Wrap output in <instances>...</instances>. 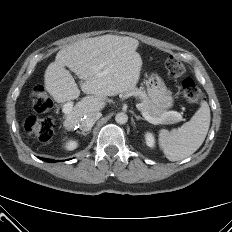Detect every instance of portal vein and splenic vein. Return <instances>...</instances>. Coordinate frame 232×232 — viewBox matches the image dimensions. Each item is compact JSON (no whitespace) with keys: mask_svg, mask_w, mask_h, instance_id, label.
Listing matches in <instances>:
<instances>
[{"mask_svg":"<svg viewBox=\"0 0 232 232\" xmlns=\"http://www.w3.org/2000/svg\"><path fill=\"white\" fill-rule=\"evenodd\" d=\"M72 108H73L72 102H68V103L64 104V106H63V112H64V113H69V112L72 110ZM137 108L141 111L142 116H143L149 123H152V124H154V125L162 124V118H153V117H151V116L148 114V112H146L145 110H143V109L140 107L139 104L137 105ZM166 114H167V115L173 114V115H175V116H177V117H179V118L181 117V115H180L179 113H177V112L169 111V112H167Z\"/></svg>","mask_w":232,"mask_h":232,"instance_id":"obj_1","label":"portal vein and splenic vein"}]
</instances>
